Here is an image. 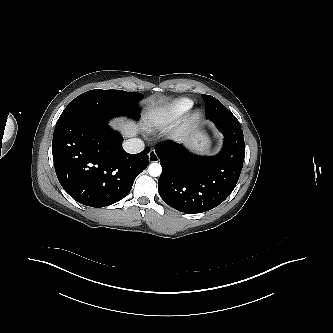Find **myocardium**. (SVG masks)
<instances>
[{
    "label": "myocardium",
    "instance_id": "myocardium-1",
    "mask_svg": "<svg viewBox=\"0 0 333 333\" xmlns=\"http://www.w3.org/2000/svg\"><path fill=\"white\" fill-rule=\"evenodd\" d=\"M199 112H194V113H192L189 117H188V119L186 120V123H185V125H189V124H191L192 122H194V121H196L198 118H199Z\"/></svg>",
    "mask_w": 333,
    "mask_h": 333
}]
</instances>
